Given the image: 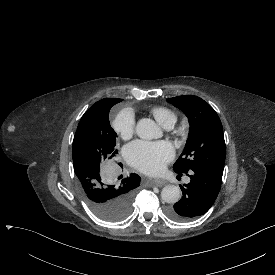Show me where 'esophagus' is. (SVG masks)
<instances>
[{
	"instance_id": "obj_1",
	"label": "esophagus",
	"mask_w": 275,
	"mask_h": 275,
	"mask_svg": "<svg viewBox=\"0 0 275 275\" xmlns=\"http://www.w3.org/2000/svg\"><path fill=\"white\" fill-rule=\"evenodd\" d=\"M153 183L156 185V186H163L165 184V181L163 179H154L153 180Z\"/></svg>"
}]
</instances>
